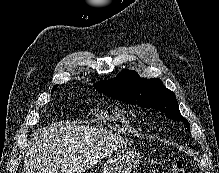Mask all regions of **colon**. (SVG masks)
I'll use <instances>...</instances> for the list:
<instances>
[{
    "instance_id": "colon-1",
    "label": "colon",
    "mask_w": 219,
    "mask_h": 173,
    "mask_svg": "<svg viewBox=\"0 0 219 173\" xmlns=\"http://www.w3.org/2000/svg\"><path fill=\"white\" fill-rule=\"evenodd\" d=\"M150 173H185V168L179 160L163 159L152 163Z\"/></svg>"
}]
</instances>
